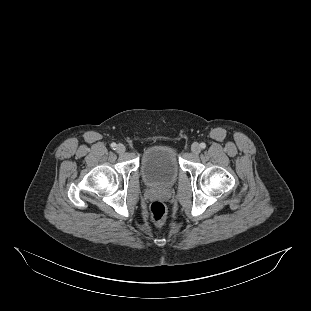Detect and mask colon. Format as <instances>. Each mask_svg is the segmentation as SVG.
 Here are the masks:
<instances>
[{"label": "colon", "instance_id": "obj_1", "mask_svg": "<svg viewBox=\"0 0 311 311\" xmlns=\"http://www.w3.org/2000/svg\"><path fill=\"white\" fill-rule=\"evenodd\" d=\"M150 214L155 223L162 224L167 217L166 206L162 202L155 201L150 205Z\"/></svg>", "mask_w": 311, "mask_h": 311}]
</instances>
